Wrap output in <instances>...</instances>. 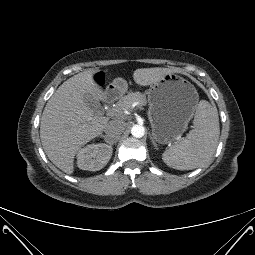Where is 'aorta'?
I'll list each match as a JSON object with an SVG mask.
<instances>
[{
  "label": "aorta",
  "instance_id": "aorta-1",
  "mask_svg": "<svg viewBox=\"0 0 255 255\" xmlns=\"http://www.w3.org/2000/svg\"><path fill=\"white\" fill-rule=\"evenodd\" d=\"M144 133H145V128L142 126V125H134L132 128H131V134L136 137V138H141L144 136Z\"/></svg>",
  "mask_w": 255,
  "mask_h": 255
}]
</instances>
